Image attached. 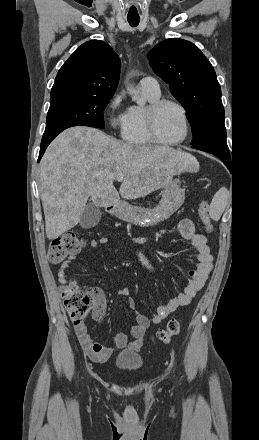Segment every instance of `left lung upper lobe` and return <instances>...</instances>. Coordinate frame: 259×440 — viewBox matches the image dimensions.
I'll return each mask as SVG.
<instances>
[{"label": "left lung upper lobe", "mask_w": 259, "mask_h": 440, "mask_svg": "<svg viewBox=\"0 0 259 440\" xmlns=\"http://www.w3.org/2000/svg\"><path fill=\"white\" fill-rule=\"evenodd\" d=\"M154 72L167 84L187 111L192 145L226 140L224 107L216 73L204 54L191 42L172 38L148 53Z\"/></svg>", "instance_id": "left-lung-upper-lobe-1"}]
</instances>
